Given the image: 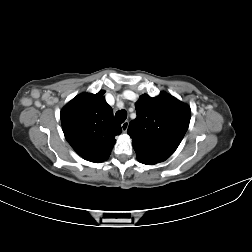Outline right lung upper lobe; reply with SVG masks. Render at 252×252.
Instances as JSON below:
<instances>
[{"label":"right lung upper lobe","mask_w":252,"mask_h":252,"mask_svg":"<svg viewBox=\"0 0 252 252\" xmlns=\"http://www.w3.org/2000/svg\"><path fill=\"white\" fill-rule=\"evenodd\" d=\"M101 90L83 93L72 99L61 111L66 140L85 160L99 163L107 160L121 126L113 120L112 108Z\"/></svg>","instance_id":"obj_1"}]
</instances>
